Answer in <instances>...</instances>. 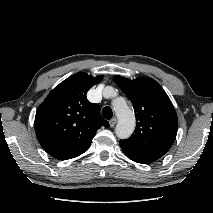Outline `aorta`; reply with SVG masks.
I'll list each match as a JSON object with an SVG mask.
<instances>
[{
    "label": "aorta",
    "instance_id": "obj_1",
    "mask_svg": "<svg viewBox=\"0 0 213 213\" xmlns=\"http://www.w3.org/2000/svg\"><path fill=\"white\" fill-rule=\"evenodd\" d=\"M112 104L118 118L115 133L118 138L127 139L132 135L135 129L136 121L134 112L123 98H117Z\"/></svg>",
    "mask_w": 213,
    "mask_h": 213
}]
</instances>
